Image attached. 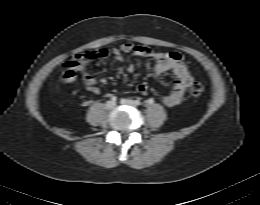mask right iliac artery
I'll return each mask as SVG.
<instances>
[{
  "mask_svg": "<svg viewBox=\"0 0 260 205\" xmlns=\"http://www.w3.org/2000/svg\"><path fill=\"white\" fill-rule=\"evenodd\" d=\"M116 100H117L116 96H111V101L116 102Z\"/></svg>",
  "mask_w": 260,
  "mask_h": 205,
  "instance_id": "82829eb1",
  "label": "right iliac artery"
}]
</instances>
